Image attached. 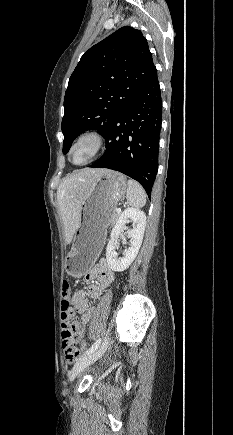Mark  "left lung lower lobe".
<instances>
[{
  "mask_svg": "<svg viewBox=\"0 0 233 435\" xmlns=\"http://www.w3.org/2000/svg\"><path fill=\"white\" fill-rule=\"evenodd\" d=\"M162 101L157 70L116 117L106 139V151L91 165L119 171L137 180L150 198L158 168Z\"/></svg>",
  "mask_w": 233,
  "mask_h": 435,
  "instance_id": "obj_1",
  "label": "left lung lower lobe"
}]
</instances>
